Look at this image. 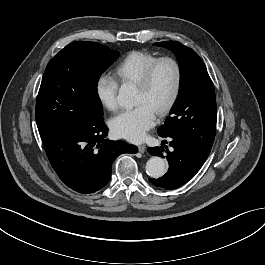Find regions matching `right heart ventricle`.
<instances>
[{
  "label": "right heart ventricle",
  "mask_w": 265,
  "mask_h": 265,
  "mask_svg": "<svg viewBox=\"0 0 265 265\" xmlns=\"http://www.w3.org/2000/svg\"><path fill=\"white\" fill-rule=\"evenodd\" d=\"M157 58L149 51H131L117 64L114 75L123 85L137 84L146 68Z\"/></svg>",
  "instance_id": "right-heart-ventricle-1"
}]
</instances>
